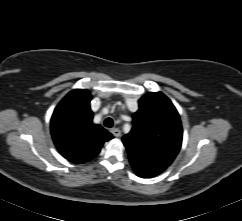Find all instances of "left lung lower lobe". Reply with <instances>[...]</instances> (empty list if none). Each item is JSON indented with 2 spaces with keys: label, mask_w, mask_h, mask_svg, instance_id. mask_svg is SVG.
<instances>
[{
  "label": "left lung lower lobe",
  "mask_w": 242,
  "mask_h": 221,
  "mask_svg": "<svg viewBox=\"0 0 242 221\" xmlns=\"http://www.w3.org/2000/svg\"><path fill=\"white\" fill-rule=\"evenodd\" d=\"M129 160L135 173L142 178L156 176L167 168L161 164L143 161L133 157H129Z\"/></svg>",
  "instance_id": "left-lung-lower-lobe-1"
}]
</instances>
